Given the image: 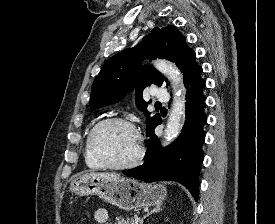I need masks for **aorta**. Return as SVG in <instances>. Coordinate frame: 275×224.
<instances>
[{
	"label": "aorta",
	"mask_w": 275,
	"mask_h": 224,
	"mask_svg": "<svg viewBox=\"0 0 275 224\" xmlns=\"http://www.w3.org/2000/svg\"><path fill=\"white\" fill-rule=\"evenodd\" d=\"M155 67L171 82L175 91L171 113L167 121L162 144H170L181 131V119L185 111V96L182 93L183 77L175 65L165 60H157Z\"/></svg>",
	"instance_id": "762f6f07"
}]
</instances>
